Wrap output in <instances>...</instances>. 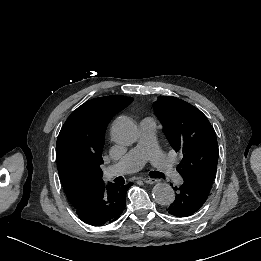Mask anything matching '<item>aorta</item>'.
Here are the masks:
<instances>
[{"label":"aorta","mask_w":261,"mask_h":261,"mask_svg":"<svg viewBox=\"0 0 261 261\" xmlns=\"http://www.w3.org/2000/svg\"><path fill=\"white\" fill-rule=\"evenodd\" d=\"M137 126L127 117L118 118L111 127L113 140L120 145H131L137 140ZM154 200L160 205H170L175 200V192L168 183H157L152 189Z\"/></svg>","instance_id":"aorta-1"}]
</instances>
